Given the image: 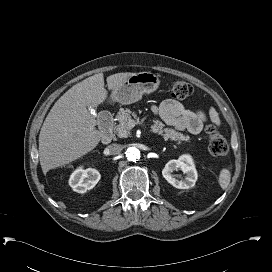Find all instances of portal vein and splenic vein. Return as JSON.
Instances as JSON below:
<instances>
[{
    "label": "portal vein and splenic vein",
    "mask_w": 272,
    "mask_h": 272,
    "mask_svg": "<svg viewBox=\"0 0 272 272\" xmlns=\"http://www.w3.org/2000/svg\"><path fill=\"white\" fill-rule=\"evenodd\" d=\"M134 125H135V122H134V120H129V122H128V126L131 128V127H134Z\"/></svg>",
    "instance_id": "portal-vein-and-splenic-vein-1"
}]
</instances>
